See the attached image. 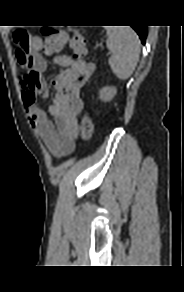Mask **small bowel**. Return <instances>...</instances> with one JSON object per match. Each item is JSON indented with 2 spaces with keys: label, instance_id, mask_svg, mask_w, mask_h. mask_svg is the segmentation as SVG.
I'll return each instance as SVG.
<instances>
[{
  "label": "small bowel",
  "instance_id": "1",
  "mask_svg": "<svg viewBox=\"0 0 184 292\" xmlns=\"http://www.w3.org/2000/svg\"><path fill=\"white\" fill-rule=\"evenodd\" d=\"M42 47L39 37H30L26 53L22 54L19 49L16 52L18 64L23 71L22 99L33 129L55 156L62 157L74 151L78 135V116L83 109L81 88L95 66L66 54L54 56L52 62L63 70L51 81L56 94L45 110L36 104L37 97H50L43 77L47 63L41 54Z\"/></svg>",
  "mask_w": 184,
  "mask_h": 292
}]
</instances>
